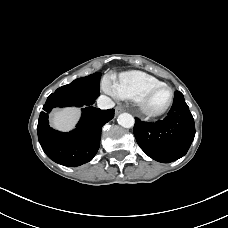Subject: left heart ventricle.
<instances>
[{"label":"left heart ventricle","mask_w":228,"mask_h":228,"mask_svg":"<svg viewBox=\"0 0 228 228\" xmlns=\"http://www.w3.org/2000/svg\"><path fill=\"white\" fill-rule=\"evenodd\" d=\"M169 92L166 88H160L153 92L148 100V107L151 110L162 108L168 101Z\"/></svg>","instance_id":"obj_1"}]
</instances>
